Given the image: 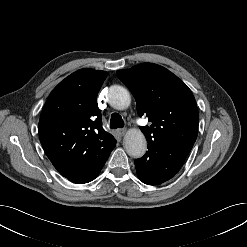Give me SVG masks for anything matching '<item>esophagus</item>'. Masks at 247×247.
<instances>
[{"label": "esophagus", "mask_w": 247, "mask_h": 247, "mask_svg": "<svg viewBox=\"0 0 247 247\" xmlns=\"http://www.w3.org/2000/svg\"><path fill=\"white\" fill-rule=\"evenodd\" d=\"M116 132H117V134H118L119 136H123V135L125 134V132H126V129H124V128H119V129L116 130Z\"/></svg>", "instance_id": "34e87169"}]
</instances>
